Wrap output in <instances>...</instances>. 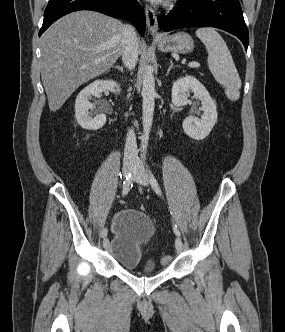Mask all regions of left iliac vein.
<instances>
[{"mask_svg": "<svg viewBox=\"0 0 285 332\" xmlns=\"http://www.w3.org/2000/svg\"><path fill=\"white\" fill-rule=\"evenodd\" d=\"M133 174H134V181H136L137 183H139L143 186L149 185V176L146 173V171L144 170L141 163H139V162L137 163V165L135 166V168L133 170ZM175 247L178 252H181L183 250V242H182L181 238L177 237L175 239Z\"/></svg>", "mask_w": 285, "mask_h": 332, "instance_id": "left-iliac-vein-1", "label": "left iliac vein"}]
</instances>
